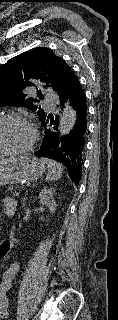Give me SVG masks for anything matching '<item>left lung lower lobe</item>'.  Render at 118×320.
Segmentation results:
<instances>
[{"instance_id": "0a47b994", "label": "left lung lower lobe", "mask_w": 118, "mask_h": 320, "mask_svg": "<svg viewBox=\"0 0 118 320\" xmlns=\"http://www.w3.org/2000/svg\"><path fill=\"white\" fill-rule=\"evenodd\" d=\"M58 96L59 105L63 106L65 103H70L73 106L76 112V122L68 134L60 135L58 118L54 120L52 115L44 116L40 121L45 136L35 155L63 163L71 180L78 185L81 179L87 132V106L85 93L74 73L58 92Z\"/></svg>"}]
</instances>
